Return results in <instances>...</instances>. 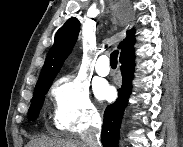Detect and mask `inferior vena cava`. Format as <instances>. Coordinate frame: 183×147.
<instances>
[{
  "label": "inferior vena cava",
  "instance_id": "obj_1",
  "mask_svg": "<svg viewBox=\"0 0 183 147\" xmlns=\"http://www.w3.org/2000/svg\"><path fill=\"white\" fill-rule=\"evenodd\" d=\"M102 120L99 114L92 117L91 126L81 135L86 147H99Z\"/></svg>",
  "mask_w": 183,
  "mask_h": 147
}]
</instances>
